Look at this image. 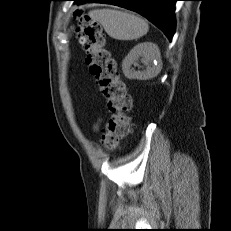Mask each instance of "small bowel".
I'll return each instance as SVG.
<instances>
[{
    "instance_id": "c3829d8e",
    "label": "small bowel",
    "mask_w": 231,
    "mask_h": 231,
    "mask_svg": "<svg viewBox=\"0 0 231 231\" xmlns=\"http://www.w3.org/2000/svg\"><path fill=\"white\" fill-rule=\"evenodd\" d=\"M98 127H99L98 124H95V125H94V129H95V130H98Z\"/></svg>"
}]
</instances>
